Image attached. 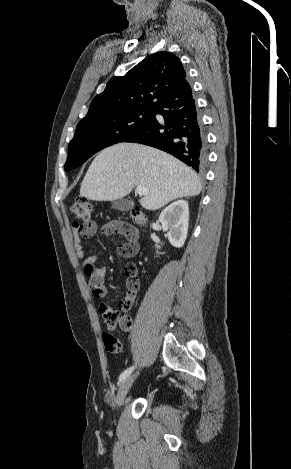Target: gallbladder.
I'll use <instances>...</instances> for the list:
<instances>
[{
  "mask_svg": "<svg viewBox=\"0 0 291 469\" xmlns=\"http://www.w3.org/2000/svg\"><path fill=\"white\" fill-rule=\"evenodd\" d=\"M134 206L133 201L128 199H119L113 201L112 208L119 211H128Z\"/></svg>",
  "mask_w": 291,
  "mask_h": 469,
  "instance_id": "bac80fb5",
  "label": "gallbladder"
}]
</instances>
